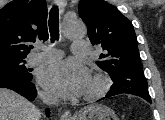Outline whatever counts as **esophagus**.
Here are the masks:
<instances>
[{
  "label": "esophagus",
  "instance_id": "34e87169",
  "mask_svg": "<svg viewBox=\"0 0 165 120\" xmlns=\"http://www.w3.org/2000/svg\"><path fill=\"white\" fill-rule=\"evenodd\" d=\"M55 4L59 5V7L63 9L66 2L64 0H55ZM61 120H73V116L69 111H66L61 115Z\"/></svg>",
  "mask_w": 165,
  "mask_h": 120
}]
</instances>
